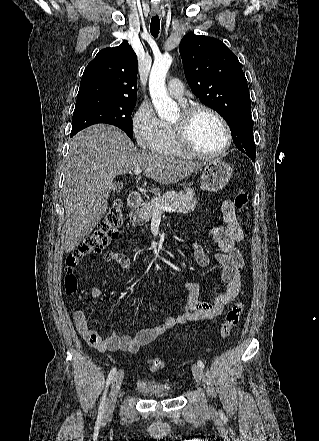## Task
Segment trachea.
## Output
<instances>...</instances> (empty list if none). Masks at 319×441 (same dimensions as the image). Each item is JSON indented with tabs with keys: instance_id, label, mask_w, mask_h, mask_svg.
I'll return each mask as SVG.
<instances>
[{
	"instance_id": "3493384b",
	"label": "trachea",
	"mask_w": 319,
	"mask_h": 441,
	"mask_svg": "<svg viewBox=\"0 0 319 441\" xmlns=\"http://www.w3.org/2000/svg\"><path fill=\"white\" fill-rule=\"evenodd\" d=\"M159 31H160V19L158 15H155L151 19L150 32L153 37L157 38L159 35Z\"/></svg>"
}]
</instances>
